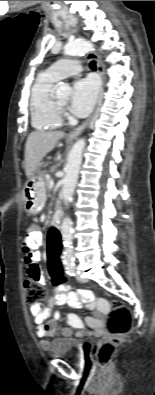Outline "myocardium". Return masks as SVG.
<instances>
[{
  "label": "myocardium",
  "mask_w": 155,
  "mask_h": 395,
  "mask_svg": "<svg viewBox=\"0 0 155 395\" xmlns=\"http://www.w3.org/2000/svg\"><path fill=\"white\" fill-rule=\"evenodd\" d=\"M53 104L56 110L59 112V114L63 111L64 106L61 105L55 98H53Z\"/></svg>",
  "instance_id": "myocardium-1"
}]
</instances>
